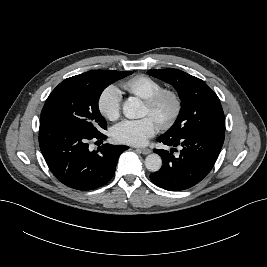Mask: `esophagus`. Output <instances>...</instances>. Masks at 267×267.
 Here are the masks:
<instances>
[{
  "instance_id": "1",
  "label": "esophagus",
  "mask_w": 267,
  "mask_h": 267,
  "mask_svg": "<svg viewBox=\"0 0 267 267\" xmlns=\"http://www.w3.org/2000/svg\"><path fill=\"white\" fill-rule=\"evenodd\" d=\"M140 153L144 154V155H147L151 152V150L149 148H140V149H137Z\"/></svg>"
}]
</instances>
